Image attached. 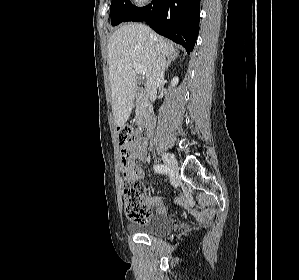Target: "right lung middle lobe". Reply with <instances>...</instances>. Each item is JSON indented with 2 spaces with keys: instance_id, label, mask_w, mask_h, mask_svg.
<instances>
[{
  "instance_id": "dd1d6c3e",
  "label": "right lung middle lobe",
  "mask_w": 299,
  "mask_h": 280,
  "mask_svg": "<svg viewBox=\"0 0 299 280\" xmlns=\"http://www.w3.org/2000/svg\"><path fill=\"white\" fill-rule=\"evenodd\" d=\"M135 6L130 0H112L110 6L111 24L118 25L134 11Z\"/></svg>"
}]
</instances>
